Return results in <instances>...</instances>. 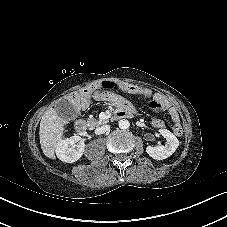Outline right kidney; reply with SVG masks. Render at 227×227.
Wrapping results in <instances>:
<instances>
[{"mask_svg": "<svg viewBox=\"0 0 227 227\" xmlns=\"http://www.w3.org/2000/svg\"><path fill=\"white\" fill-rule=\"evenodd\" d=\"M85 143L80 136L74 135L61 140L55 149L57 157L66 163H73L81 158L84 153Z\"/></svg>", "mask_w": 227, "mask_h": 227, "instance_id": "ca27d5eb", "label": "right kidney"}]
</instances>
